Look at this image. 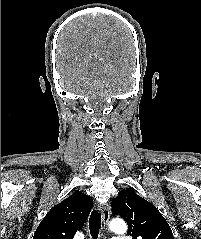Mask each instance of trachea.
I'll list each match as a JSON object with an SVG mask.
<instances>
[{
	"label": "trachea",
	"mask_w": 201,
	"mask_h": 239,
	"mask_svg": "<svg viewBox=\"0 0 201 239\" xmlns=\"http://www.w3.org/2000/svg\"><path fill=\"white\" fill-rule=\"evenodd\" d=\"M89 228L92 239H97L101 228V214L93 210L89 218Z\"/></svg>",
	"instance_id": "1"
}]
</instances>
